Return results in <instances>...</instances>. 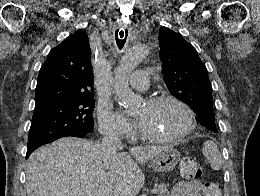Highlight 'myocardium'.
Returning a JSON list of instances; mask_svg holds the SVG:
<instances>
[{
  "instance_id": "f54148a6",
  "label": "myocardium",
  "mask_w": 260,
  "mask_h": 196,
  "mask_svg": "<svg viewBox=\"0 0 260 196\" xmlns=\"http://www.w3.org/2000/svg\"><path fill=\"white\" fill-rule=\"evenodd\" d=\"M164 103H174L182 107L188 115L187 126L179 133L168 134V135L154 134L140 129V135L144 140H147L149 142H177L188 137L194 130L196 125V114L192 109V107L189 104H187L185 101H183L181 98L175 95L164 94V95L151 97L150 99L147 100L146 104L148 106H155Z\"/></svg>"
}]
</instances>
